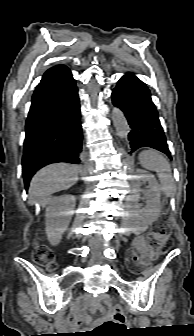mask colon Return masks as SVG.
<instances>
[{
  "instance_id": "colon-1",
  "label": "colon",
  "mask_w": 194,
  "mask_h": 336,
  "mask_svg": "<svg viewBox=\"0 0 194 336\" xmlns=\"http://www.w3.org/2000/svg\"><path fill=\"white\" fill-rule=\"evenodd\" d=\"M170 225L163 219L156 222L155 226L148 234L147 242L150 249V256L154 257L166 245L171 235ZM33 259L41 266L55 268L56 262L54 254L44 245H37L33 249ZM139 256L135 251H130L127 255L128 266L137 269L139 266ZM126 316L121 305H114L109 320L102 323L90 336H113L125 329Z\"/></svg>"
}]
</instances>
